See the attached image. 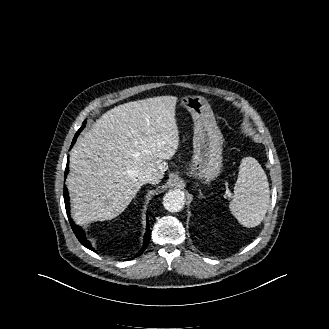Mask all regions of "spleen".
<instances>
[{"label": "spleen", "instance_id": "spleen-1", "mask_svg": "<svg viewBox=\"0 0 329 329\" xmlns=\"http://www.w3.org/2000/svg\"><path fill=\"white\" fill-rule=\"evenodd\" d=\"M269 204V183L264 170L255 158L244 157L229 203L232 215L241 225L255 227L265 217Z\"/></svg>", "mask_w": 329, "mask_h": 329}]
</instances>
